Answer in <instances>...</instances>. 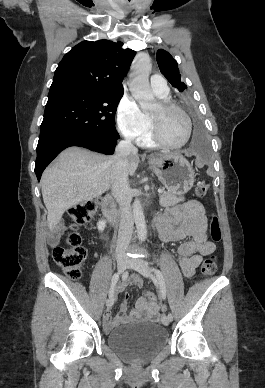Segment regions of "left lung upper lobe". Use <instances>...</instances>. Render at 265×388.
<instances>
[{"mask_svg":"<svg viewBox=\"0 0 265 388\" xmlns=\"http://www.w3.org/2000/svg\"><path fill=\"white\" fill-rule=\"evenodd\" d=\"M157 63L161 73L173 87L177 88L180 92L187 88L186 84L181 81L176 60L167 51L162 49L157 51Z\"/></svg>","mask_w":265,"mask_h":388,"instance_id":"5c2ea615","label":"left lung upper lobe"}]
</instances>
